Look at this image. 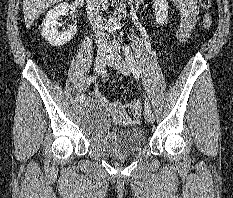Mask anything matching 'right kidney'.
Masks as SVG:
<instances>
[{
  "label": "right kidney",
  "mask_w": 233,
  "mask_h": 198,
  "mask_svg": "<svg viewBox=\"0 0 233 198\" xmlns=\"http://www.w3.org/2000/svg\"><path fill=\"white\" fill-rule=\"evenodd\" d=\"M70 5L66 2L58 4L47 12L41 28V35L52 46H62L68 43L76 34L77 25H71L66 31L58 30V19L69 13Z\"/></svg>",
  "instance_id": "ca27d5eb"
}]
</instances>
